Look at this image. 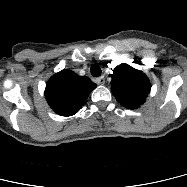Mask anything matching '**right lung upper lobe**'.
<instances>
[{
	"instance_id": "cb5924a9",
	"label": "right lung upper lobe",
	"mask_w": 187,
	"mask_h": 187,
	"mask_svg": "<svg viewBox=\"0 0 187 187\" xmlns=\"http://www.w3.org/2000/svg\"><path fill=\"white\" fill-rule=\"evenodd\" d=\"M95 88L96 84L88 77L62 70L47 82L45 96L48 104L57 114L71 116L82 108L89 93Z\"/></svg>"
}]
</instances>
